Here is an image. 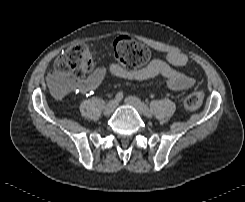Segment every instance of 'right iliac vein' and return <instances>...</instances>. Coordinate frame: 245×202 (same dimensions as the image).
Segmentation results:
<instances>
[{
    "mask_svg": "<svg viewBox=\"0 0 245 202\" xmlns=\"http://www.w3.org/2000/svg\"><path fill=\"white\" fill-rule=\"evenodd\" d=\"M117 105L118 103L116 100H110L104 107V110H103L104 115H110L115 110Z\"/></svg>",
    "mask_w": 245,
    "mask_h": 202,
    "instance_id": "1",
    "label": "right iliac vein"
}]
</instances>
